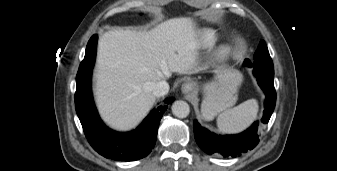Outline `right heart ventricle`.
Returning <instances> with one entry per match:
<instances>
[{"label":"right heart ventricle","mask_w":337,"mask_h":171,"mask_svg":"<svg viewBox=\"0 0 337 171\" xmlns=\"http://www.w3.org/2000/svg\"><path fill=\"white\" fill-rule=\"evenodd\" d=\"M213 42H214V41H213V38H211V37H208V38H207V43H208V44L211 45Z\"/></svg>","instance_id":"right-heart-ventricle-1"}]
</instances>
